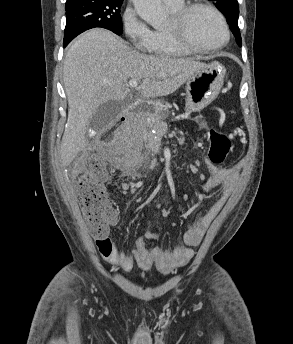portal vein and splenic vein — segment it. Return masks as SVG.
<instances>
[{
	"label": "portal vein and splenic vein",
	"instance_id": "18ae733b",
	"mask_svg": "<svg viewBox=\"0 0 293 344\" xmlns=\"http://www.w3.org/2000/svg\"><path fill=\"white\" fill-rule=\"evenodd\" d=\"M128 85H129L130 87H132V88H135V87H137L138 82H137V80H135V79H131V80L128 82Z\"/></svg>",
	"mask_w": 293,
	"mask_h": 344
}]
</instances>
